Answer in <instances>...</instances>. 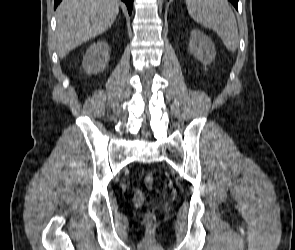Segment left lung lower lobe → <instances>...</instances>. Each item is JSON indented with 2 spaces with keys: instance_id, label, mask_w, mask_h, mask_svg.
Instances as JSON below:
<instances>
[{
  "instance_id": "obj_1",
  "label": "left lung lower lobe",
  "mask_w": 295,
  "mask_h": 250,
  "mask_svg": "<svg viewBox=\"0 0 295 250\" xmlns=\"http://www.w3.org/2000/svg\"><path fill=\"white\" fill-rule=\"evenodd\" d=\"M238 9V0H229Z\"/></svg>"
}]
</instances>
